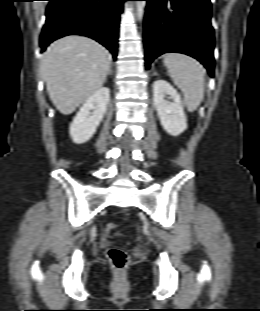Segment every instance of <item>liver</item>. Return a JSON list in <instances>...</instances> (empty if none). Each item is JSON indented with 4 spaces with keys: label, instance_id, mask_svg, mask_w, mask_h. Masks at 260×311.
<instances>
[{
    "label": "liver",
    "instance_id": "liver-1",
    "mask_svg": "<svg viewBox=\"0 0 260 311\" xmlns=\"http://www.w3.org/2000/svg\"><path fill=\"white\" fill-rule=\"evenodd\" d=\"M111 57L96 41L67 36L55 41L43 56L42 77L52 103L64 115L96 93L106 80Z\"/></svg>",
    "mask_w": 260,
    "mask_h": 311
}]
</instances>
